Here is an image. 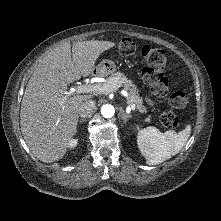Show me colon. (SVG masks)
<instances>
[{"label":"colon","mask_w":221,"mask_h":221,"mask_svg":"<svg viewBox=\"0 0 221 221\" xmlns=\"http://www.w3.org/2000/svg\"><path fill=\"white\" fill-rule=\"evenodd\" d=\"M118 52L123 56L133 55L139 52L146 60L147 66L142 70L143 80L151 86L153 93L158 97H167L169 104L174 109H182L187 104V96L182 90L169 92L168 80L164 75L166 67L165 51L150 45L138 47L131 39H123L118 44ZM165 128L174 129L179 124L177 115L169 110L165 111L160 118Z\"/></svg>","instance_id":"obj_1"}]
</instances>
